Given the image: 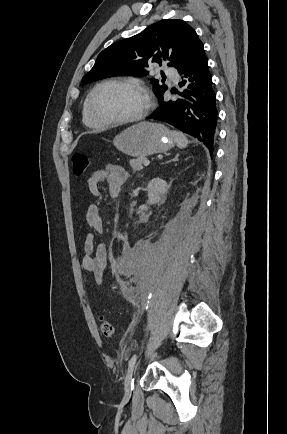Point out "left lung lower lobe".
Returning <instances> with one entry per match:
<instances>
[{
    "mask_svg": "<svg viewBox=\"0 0 287 434\" xmlns=\"http://www.w3.org/2000/svg\"><path fill=\"white\" fill-rule=\"evenodd\" d=\"M178 71L182 75L179 86L184 87V91L179 93L180 98L167 101L162 96L160 107L147 118L173 125L197 138L212 152L217 133V109L205 53Z\"/></svg>",
    "mask_w": 287,
    "mask_h": 434,
    "instance_id": "left-lung-lower-lobe-1",
    "label": "left lung lower lobe"
}]
</instances>
